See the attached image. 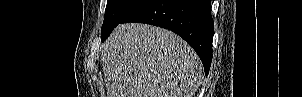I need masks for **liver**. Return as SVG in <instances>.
<instances>
[{
	"label": "liver",
	"mask_w": 302,
	"mask_h": 97,
	"mask_svg": "<svg viewBox=\"0 0 302 97\" xmlns=\"http://www.w3.org/2000/svg\"><path fill=\"white\" fill-rule=\"evenodd\" d=\"M107 97H192L203 79L195 51L166 29L118 25L102 50Z\"/></svg>",
	"instance_id": "6515ba94"
}]
</instances>
